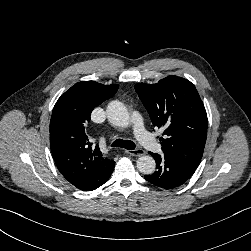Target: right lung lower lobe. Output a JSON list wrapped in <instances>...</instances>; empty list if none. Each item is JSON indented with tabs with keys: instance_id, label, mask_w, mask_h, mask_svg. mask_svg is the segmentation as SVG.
<instances>
[{
	"instance_id": "right-lung-lower-lobe-1",
	"label": "right lung lower lobe",
	"mask_w": 251,
	"mask_h": 251,
	"mask_svg": "<svg viewBox=\"0 0 251 251\" xmlns=\"http://www.w3.org/2000/svg\"><path fill=\"white\" fill-rule=\"evenodd\" d=\"M114 166L115 162L111 161L106 167L101 169L92 178H90L88 181H86L77 188L83 191H91L100 187L101 185H103L105 182L108 181L113 172Z\"/></svg>"
}]
</instances>
